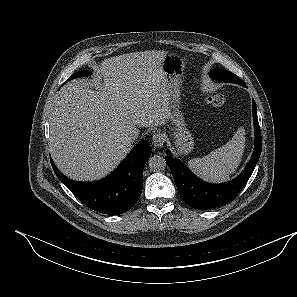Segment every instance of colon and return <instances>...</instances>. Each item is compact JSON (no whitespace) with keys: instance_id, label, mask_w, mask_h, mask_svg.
<instances>
[{"instance_id":"5ec220e1","label":"colon","mask_w":297,"mask_h":297,"mask_svg":"<svg viewBox=\"0 0 297 297\" xmlns=\"http://www.w3.org/2000/svg\"><path fill=\"white\" fill-rule=\"evenodd\" d=\"M206 103L212 107H224L228 104V99L224 95H212L206 98Z\"/></svg>"}]
</instances>
